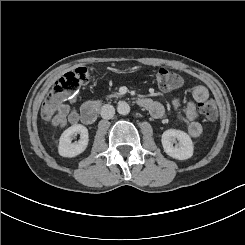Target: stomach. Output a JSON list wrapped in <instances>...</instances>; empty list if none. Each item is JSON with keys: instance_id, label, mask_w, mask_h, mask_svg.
<instances>
[{"instance_id": "stomach-1", "label": "stomach", "mask_w": 245, "mask_h": 245, "mask_svg": "<svg viewBox=\"0 0 245 245\" xmlns=\"http://www.w3.org/2000/svg\"><path fill=\"white\" fill-rule=\"evenodd\" d=\"M133 71H134L133 69L129 68V69H127L125 72L131 73V72H133Z\"/></svg>"}]
</instances>
